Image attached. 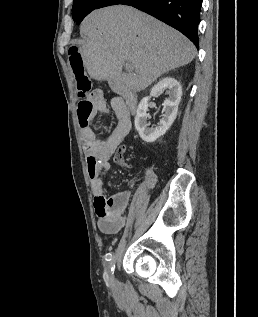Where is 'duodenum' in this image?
<instances>
[{
	"mask_svg": "<svg viewBox=\"0 0 258 317\" xmlns=\"http://www.w3.org/2000/svg\"><path fill=\"white\" fill-rule=\"evenodd\" d=\"M131 108H132V110H135V109H136V102H132Z\"/></svg>",
	"mask_w": 258,
	"mask_h": 317,
	"instance_id": "410a0bca",
	"label": "duodenum"
}]
</instances>
